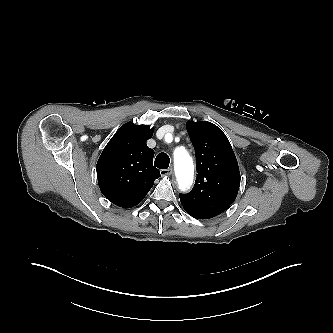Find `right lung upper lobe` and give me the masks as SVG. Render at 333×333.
I'll return each mask as SVG.
<instances>
[{"label": "right lung upper lobe", "instance_id": "cb5924a9", "mask_svg": "<svg viewBox=\"0 0 333 333\" xmlns=\"http://www.w3.org/2000/svg\"><path fill=\"white\" fill-rule=\"evenodd\" d=\"M152 134L149 126L126 123L100 155L96 166L98 184L113 204L136 206L160 177V171L153 166L154 151L146 145Z\"/></svg>", "mask_w": 333, "mask_h": 333}]
</instances>
